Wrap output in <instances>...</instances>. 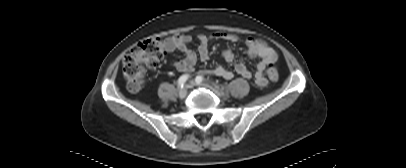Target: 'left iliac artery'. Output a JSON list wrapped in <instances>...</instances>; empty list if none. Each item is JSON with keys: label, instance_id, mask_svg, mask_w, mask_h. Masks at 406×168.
Segmentation results:
<instances>
[{"label": "left iliac artery", "instance_id": "obj_1", "mask_svg": "<svg viewBox=\"0 0 406 168\" xmlns=\"http://www.w3.org/2000/svg\"><path fill=\"white\" fill-rule=\"evenodd\" d=\"M203 80H204V78L202 76H197L195 79L196 83H198V84L201 83Z\"/></svg>", "mask_w": 406, "mask_h": 168}]
</instances>
